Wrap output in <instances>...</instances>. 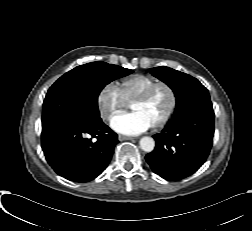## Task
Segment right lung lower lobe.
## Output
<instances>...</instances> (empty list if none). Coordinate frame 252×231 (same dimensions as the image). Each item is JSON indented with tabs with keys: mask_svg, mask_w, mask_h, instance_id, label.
Wrapping results in <instances>:
<instances>
[{
	"mask_svg": "<svg viewBox=\"0 0 252 231\" xmlns=\"http://www.w3.org/2000/svg\"><path fill=\"white\" fill-rule=\"evenodd\" d=\"M118 142L117 134L101 118L61 116L42 125L41 146L47 162L57 174L74 182H88L100 175Z\"/></svg>",
	"mask_w": 252,
	"mask_h": 231,
	"instance_id": "right-lung-lower-lobe-1",
	"label": "right lung lower lobe"
}]
</instances>
